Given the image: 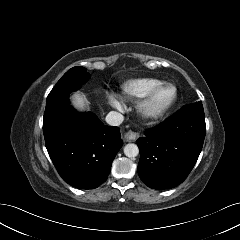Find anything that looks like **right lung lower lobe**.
<instances>
[{
	"mask_svg": "<svg viewBox=\"0 0 240 240\" xmlns=\"http://www.w3.org/2000/svg\"><path fill=\"white\" fill-rule=\"evenodd\" d=\"M43 133L59 175L80 189H94L106 181L123 144L118 127L104 125L91 112L75 111L69 94L46 101Z\"/></svg>",
	"mask_w": 240,
	"mask_h": 240,
	"instance_id": "obj_1",
	"label": "right lung lower lobe"
}]
</instances>
